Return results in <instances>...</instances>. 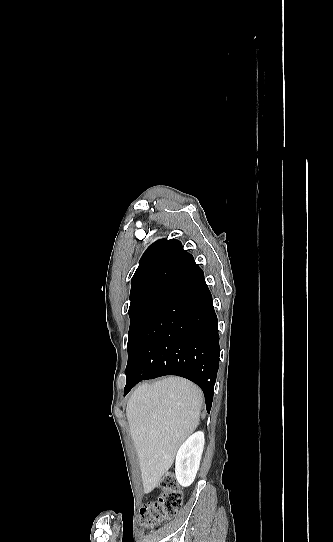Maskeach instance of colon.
<instances>
[{
	"instance_id": "1",
	"label": "colon",
	"mask_w": 333,
	"mask_h": 542,
	"mask_svg": "<svg viewBox=\"0 0 333 542\" xmlns=\"http://www.w3.org/2000/svg\"><path fill=\"white\" fill-rule=\"evenodd\" d=\"M162 492L156 500L146 502L141 508L142 522L152 527L170 519L180 509L183 494L173 474H166L160 480Z\"/></svg>"
}]
</instances>
